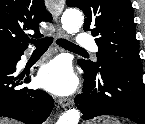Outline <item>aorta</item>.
Instances as JSON below:
<instances>
[{"mask_svg": "<svg viewBox=\"0 0 145 124\" xmlns=\"http://www.w3.org/2000/svg\"><path fill=\"white\" fill-rule=\"evenodd\" d=\"M83 19L79 10L67 9L61 17L62 27L67 33L74 35L79 32ZM79 119L80 112L77 109H70L58 119L57 124H78Z\"/></svg>", "mask_w": 145, "mask_h": 124, "instance_id": "obj_1", "label": "aorta"}]
</instances>
